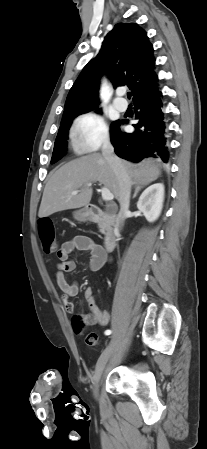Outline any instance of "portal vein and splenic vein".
Here are the masks:
<instances>
[{
	"label": "portal vein and splenic vein",
	"instance_id": "obj_1",
	"mask_svg": "<svg viewBox=\"0 0 207 449\" xmlns=\"http://www.w3.org/2000/svg\"><path fill=\"white\" fill-rule=\"evenodd\" d=\"M91 185H92V183L87 184V186H91ZM100 191L102 194V199L104 201H110L114 198V195L110 192V190L108 188L102 187ZM77 193H78L77 190L72 192L73 195H76Z\"/></svg>",
	"mask_w": 207,
	"mask_h": 449
}]
</instances>
